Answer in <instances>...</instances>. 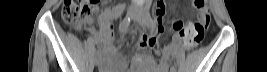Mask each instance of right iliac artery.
<instances>
[{
	"label": "right iliac artery",
	"mask_w": 267,
	"mask_h": 72,
	"mask_svg": "<svg viewBox=\"0 0 267 72\" xmlns=\"http://www.w3.org/2000/svg\"><path fill=\"white\" fill-rule=\"evenodd\" d=\"M130 22H131V17H126L121 23H120V26H119V31L122 33V32H125L127 30V28L129 27L130 25ZM101 54V47H98V49L96 50V57L100 56Z\"/></svg>",
	"instance_id": "obj_1"
}]
</instances>
